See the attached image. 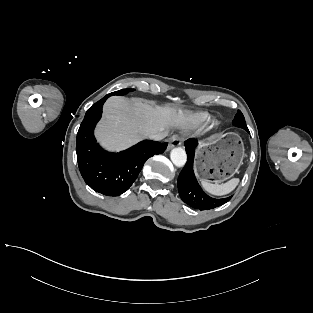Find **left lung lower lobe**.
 Returning a JSON list of instances; mask_svg holds the SVG:
<instances>
[{"mask_svg": "<svg viewBox=\"0 0 313 313\" xmlns=\"http://www.w3.org/2000/svg\"><path fill=\"white\" fill-rule=\"evenodd\" d=\"M197 144L195 139H188L184 143L188 158L178 177V191L181 199L192 208L213 209L227 203L232 196L223 199L211 198L199 186L193 172L194 152Z\"/></svg>", "mask_w": 313, "mask_h": 313, "instance_id": "left-lung-lower-lobe-1", "label": "left lung lower lobe"}]
</instances>
